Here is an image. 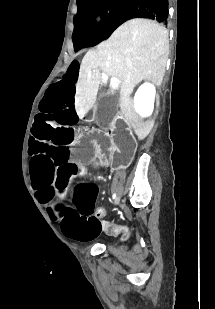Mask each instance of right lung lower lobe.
Masks as SVG:
<instances>
[{"mask_svg": "<svg viewBox=\"0 0 215 309\" xmlns=\"http://www.w3.org/2000/svg\"><path fill=\"white\" fill-rule=\"evenodd\" d=\"M137 17L166 23L168 18V0H132L122 12L117 22V27L129 19Z\"/></svg>", "mask_w": 215, "mask_h": 309, "instance_id": "98d812e1", "label": "right lung lower lobe"}]
</instances>
